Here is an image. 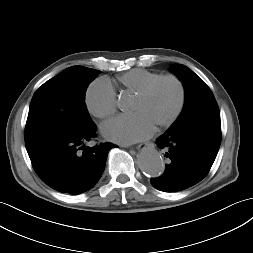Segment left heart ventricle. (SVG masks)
Instances as JSON below:
<instances>
[{
    "mask_svg": "<svg viewBox=\"0 0 253 253\" xmlns=\"http://www.w3.org/2000/svg\"><path fill=\"white\" fill-rule=\"evenodd\" d=\"M178 102V90L174 83L164 81L157 85L145 98L135 97L133 112H142L157 125L166 120L175 110Z\"/></svg>",
    "mask_w": 253,
    "mask_h": 253,
    "instance_id": "obj_1",
    "label": "left heart ventricle"
}]
</instances>
